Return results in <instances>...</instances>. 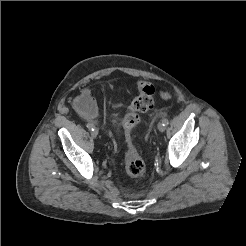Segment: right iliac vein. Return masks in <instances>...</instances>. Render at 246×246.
Masks as SVG:
<instances>
[{"mask_svg":"<svg viewBox=\"0 0 246 246\" xmlns=\"http://www.w3.org/2000/svg\"><path fill=\"white\" fill-rule=\"evenodd\" d=\"M91 135L93 138H96L97 135H98V130L97 129H94L92 132H91Z\"/></svg>","mask_w":246,"mask_h":246,"instance_id":"right-iliac-vein-1","label":"right iliac vein"}]
</instances>
